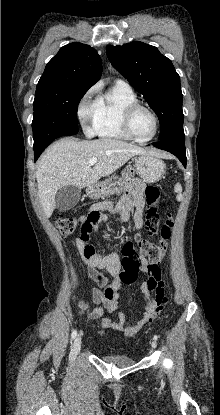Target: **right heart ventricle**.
<instances>
[{
  "mask_svg": "<svg viewBox=\"0 0 220 415\" xmlns=\"http://www.w3.org/2000/svg\"><path fill=\"white\" fill-rule=\"evenodd\" d=\"M137 97L132 89H121L114 86L106 94L97 99V115L94 132L102 138L129 140L121 127L122 110Z\"/></svg>",
  "mask_w": 220,
  "mask_h": 415,
  "instance_id": "obj_1",
  "label": "right heart ventricle"
}]
</instances>
